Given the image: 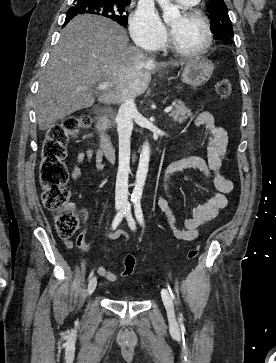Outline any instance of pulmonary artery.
<instances>
[{
  "label": "pulmonary artery",
  "mask_w": 276,
  "mask_h": 363,
  "mask_svg": "<svg viewBox=\"0 0 276 363\" xmlns=\"http://www.w3.org/2000/svg\"><path fill=\"white\" fill-rule=\"evenodd\" d=\"M180 5L183 6H193L198 0H176Z\"/></svg>",
  "instance_id": "pulmonary-artery-1"
}]
</instances>
